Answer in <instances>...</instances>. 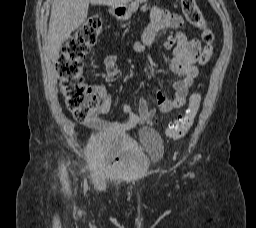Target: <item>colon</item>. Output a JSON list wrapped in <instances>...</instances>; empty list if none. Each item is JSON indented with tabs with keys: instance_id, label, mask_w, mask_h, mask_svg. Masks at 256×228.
Here are the masks:
<instances>
[{
	"instance_id": "obj_1",
	"label": "colon",
	"mask_w": 256,
	"mask_h": 228,
	"mask_svg": "<svg viewBox=\"0 0 256 228\" xmlns=\"http://www.w3.org/2000/svg\"><path fill=\"white\" fill-rule=\"evenodd\" d=\"M182 12L186 20L201 30L205 47L199 63L205 64L213 55L214 34L207 26L202 12L195 0H181ZM103 28L100 14L94 13L69 37L57 61L60 90L67 110L77 121L93 118L100 107V100L89 88L83 78V59L96 43ZM201 96L193 93L185 113L175 123L166 127L168 136L174 139L184 137L193 125L198 113Z\"/></svg>"
}]
</instances>
